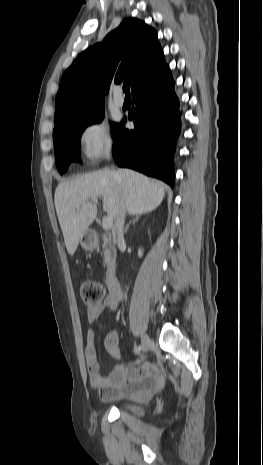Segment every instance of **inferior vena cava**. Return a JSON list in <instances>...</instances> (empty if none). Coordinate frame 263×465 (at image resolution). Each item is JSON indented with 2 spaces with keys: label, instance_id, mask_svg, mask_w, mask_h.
Segmentation results:
<instances>
[{
  "label": "inferior vena cava",
  "instance_id": "inferior-vena-cava-1",
  "mask_svg": "<svg viewBox=\"0 0 263 465\" xmlns=\"http://www.w3.org/2000/svg\"><path fill=\"white\" fill-rule=\"evenodd\" d=\"M110 157H111L110 152H107L106 159L110 160ZM113 175L115 176V173H113ZM125 215H126L125 205L122 204L120 207L119 213L116 217V221H115L118 246H122L123 244H125V240H124Z\"/></svg>",
  "mask_w": 263,
  "mask_h": 465
}]
</instances>
